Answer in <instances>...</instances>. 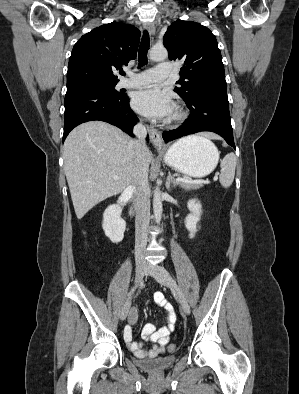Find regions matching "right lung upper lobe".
Masks as SVG:
<instances>
[{
    "instance_id": "cb5924a9",
    "label": "right lung upper lobe",
    "mask_w": 299,
    "mask_h": 394,
    "mask_svg": "<svg viewBox=\"0 0 299 394\" xmlns=\"http://www.w3.org/2000/svg\"><path fill=\"white\" fill-rule=\"evenodd\" d=\"M140 31L112 22L83 35L74 45L68 64L67 90L91 83L118 82L113 70L136 58Z\"/></svg>"
}]
</instances>
